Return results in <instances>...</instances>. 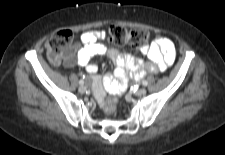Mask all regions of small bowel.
I'll return each mask as SVG.
<instances>
[{"instance_id": "c3829d8e", "label": "small bowel", "mask_w": 225, "mask_h": 155, "mask_svg": "<svg viewBox=\"0 0 225 155\" xmlns=\"http://www.w3.org/2000/svg\"><path fill=\"white\" fill-rule=\"evenodd\" d=\"M106 38L104 31H87L82 33L80 43L76 44L75 54L72 53L70 60L65 61L66 66L77 63L85 67L91 75V81L95 97L100 106L105 107L107 100L106 92L111 93L110 100L115 106L122 104L119 97L127 86L130 79L139 80L146 72L158 73L165 71L175 60L176 51L173 42L165 37L155 39L151 44L140 47V52L147 56L149 62L145 63L134 58L128 53H121L115 48H108L100 42ZM108 56L116 65L114 77L111 74L101 77L97 74L98 67L92 61L95 56Z\"/></svg>"}]
</instances>
